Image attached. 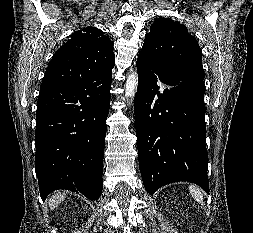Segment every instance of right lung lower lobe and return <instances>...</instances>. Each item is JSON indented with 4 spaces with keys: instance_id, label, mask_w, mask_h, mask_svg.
<instances>
[{
    "instance_id": "98d812e1",
    "label": "right lung lower lobe",
    "mask_w": 253,
    "mask_h": 233,
    "mask_svg": "<svg viewBox=\"0 0 253 233\" xmlns=\"http://www.w3.org/2000/svg\"><path fill=\"white\" fill-rule=\"evenodd\" d=\"M111 81L109 71L40 88L35 171L43 200L57 189L100 197Z\"/></svg>"
}]
</instances>
